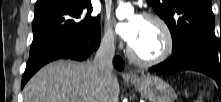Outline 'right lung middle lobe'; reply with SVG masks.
Returning <instances> with one entry per match:
<instances>
[{"label":"right lung middle lobe","mask_w":221,"mask_h":102,"mask_svg":"<svg viewBox=\"0 0 221 102\" xmlns=\"http://www.w3.org/2000/svg\"><path fill=\"white\" fill-rule=\"evenodd\" d=\"M30 55L62 37L91 38L99 30V16H91L90 0H46L36 4Z\"/></svg>","instance_id":"right-lung-middle-lobe-1"}]
</instances>
